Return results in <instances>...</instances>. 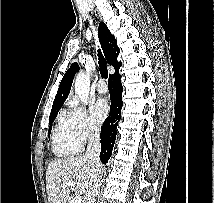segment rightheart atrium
Here are the masks:
<instances>
[{
    "label": "right heart atrium",
    "instance_id": "1",
    "mask_svg": "<svg viewBox=\"0 0 214 203\" xmlns=\"http://www.w3.org/2000/svg\"><path fill=\"white\" fill-rule=\"evenodd\" d=\"M60 121L80 146L99 133L97 123L94 122L85 109L74 102L70 103L67 109L61 112Z\"/></svg>",
    "mask_w": 214,
    "mask_h": 203
}]
</instances>
